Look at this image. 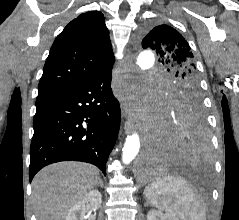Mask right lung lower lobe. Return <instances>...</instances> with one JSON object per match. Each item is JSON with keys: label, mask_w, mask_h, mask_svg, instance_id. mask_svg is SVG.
Masks as SVG:
<instances>
[{"label": "right lung lower lobe", "mask_w": 239, "mask_h": 220, "mask_svg": "<svg viewBox=\"0 0 239 220\" xmlns=\"http://www.w3.org/2000/svg\"><path fill=\"white\" fill-rule=\"evenodd\" d=\"M111 73L112 67L80 85L37 96L30 182L44 166L64 160L94 164L106 175L120 126Z\"/></svg>", "instance_id": "right-lung-lower-lobe-1"}]
</instances>
